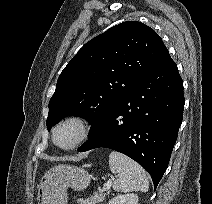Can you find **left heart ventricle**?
I'll list each match as a JSON object with an SVG mask.
<instances>
[{"mask_svg":"<svg viewBox=\"0 0 212 204\" xmlns=\"http://www.w3.org/2000/svg\"><path fill=\"white\" fill-rule=\"evenodd\" d=\"M77 135L78 130L75 126H64L57 131L56 141L62 146H68L75 141Z\"/></svg>","mask_w":212,"mask_h":204,"instance_id":"left-heart-ventricle-1","label":"left heart ventricle"}]
</instances>
